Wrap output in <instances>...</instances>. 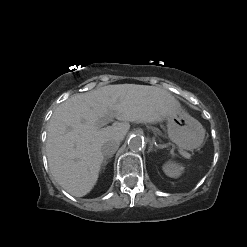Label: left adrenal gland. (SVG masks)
Instances as JSON below:
<instances>
[{
    "label": "left adrenal gland",
    "mask_w": 247,
    "mask_h": 247,
    "mask_svg": "<svg viewBox=\"0 0 247 247\" xmlns=\"http://www.w3.org/2000/svg\"><path fill=\"white\" fill-rule=\"evenodd\" d=\"M151 151H155V149H153V144L152 143H150V147L148 149V152H151Z\"/></svg>",
    "instance_id": "1"
}]
</instances>
